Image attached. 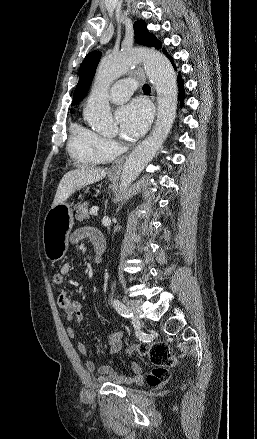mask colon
<instances>
[{
	"instance_id": "obj_1",
	"label": "colon",
	"mask_w": 257,
	"mask_h": 439,
	"mask_svg": "<svg viewBox=\"0 0 257 439\" xmlns=\"http://www.w3.org/2000/svg\"><path fill=\"white\" fill-rule=\"evenodd\" d=\"M62 281V275L59 273L54 274V284L60 285ZM127 352H136L149 359L151 368L147 374V382L153 387L161 386L167 382L169 378L168 368L177 362V358L171 352L169 346L164 342L131 346L128 348Z\"/></svg>"
}]
</instances>
